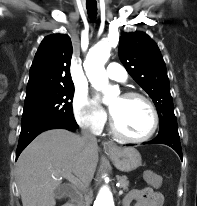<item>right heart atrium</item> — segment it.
Masks as SVG:
<instances>
[{
    "label": "right heart atrium",
    "mask_w": 197,
    "mask_h": 206,
    "mask_svg": "<svg viewBox=\"0 0 197 206\" xmlns=\"http://www.w3.org/2000/svg\"><path fill=\"white\" fill-rule=\"evenodd\" d=\"M73 113L77 123L93 133L101 132L106 123V114L95 105L86 91L75 93Z\"/></svg>",
    "instance_id": "d8ad5b80"
}]
</instances>
